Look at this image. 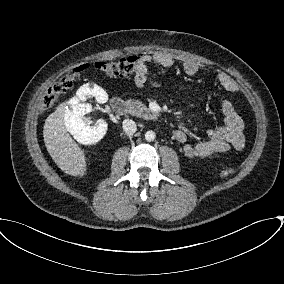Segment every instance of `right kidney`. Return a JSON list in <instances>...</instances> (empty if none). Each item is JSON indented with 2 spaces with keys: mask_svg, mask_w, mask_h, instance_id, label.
Listing matches in <instances>:
<instances>
[{
  "mask_svg": "<svg viewBox=\"0 0 284 284\" xmlns=\"http://www.w3.org/2000/svg\"><path fill=\"white\" fill-rule=\"evenodd\" d=\"M89 96L96 97L98 103H105L108 95L104 89L96 84H84L76 93V98L70 100V108L66 111L65 124L68 131L81 144L91 145L99 142L107 131V123L98 120L96 125L84 120V115L90 110L88 104L82 103Z\"/></svg>",
  "mask_w": 284,
  "mask_h": 284,
  "instance_id": "right-kidney-1",
  "label": "right kidney"
}]
</instances>
